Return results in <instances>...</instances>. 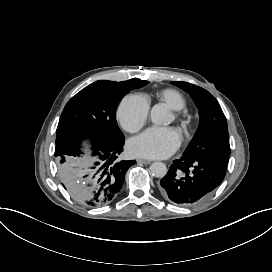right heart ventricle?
<instances>
[{"label":"right heart ventricle","mask_w":272,"mask_h":272,"mask_svg":"<svg viewBox=\"0 0 272 272\" xmlns=\"http://www.w3.org/2000/svg\"><path fill=\"white\" fill-rule=\"evenodd\" d=\"M160 98L165 101L172 109L180 110L184 107L183 97L175 90H165L160 94Z\"/></svg>","instance_id":"obj_1"}]
</instances>
